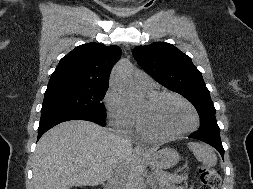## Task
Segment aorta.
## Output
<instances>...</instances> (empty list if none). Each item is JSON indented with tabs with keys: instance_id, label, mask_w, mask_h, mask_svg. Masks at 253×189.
Listing matches in <instances>:
<instances>
[{
	"instance_id": "obj_1",
	"label": "aorta",
	"mask_w": 253,
	"mask_h": 189,
	"mask_svg": "<svg viewBox=\"0 0 253 189\" xmlns=\"http://www.w3.org/2000/svg\"><path fill=\"white\" fill-rule=\"evenodd\" d=\"M132 68L129 63H120L112 73V85L122 97L125 105L135 108L142 102V96L133 85L131 77ZM133 189H145V184L140 175L134 177Z\"/></svg>"
}]
</instances>
